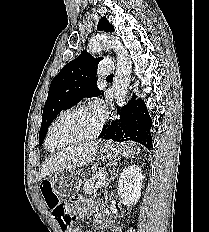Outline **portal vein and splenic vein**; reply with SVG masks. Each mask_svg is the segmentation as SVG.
Returning a JSON list of instances; mask_svg holds the SVG:
<instances>
[{"label": "portal vein and splenic vein", "instance_id": "18ae733b", "mask_svg": "<svg viewBox=\"0 0 209 232\" xmlns=\"http://www.w3.org/2000/svg\"><path fill=\"white\" fill-rule=\"evenodd\" d=\"M106 175H107V173L104 174L105 177H106ZM101 178H103V176H101ZM99 182H100V181H99ZM99 182H98V183H99Z\"/></svg>", "mask_w": 209, "mask_h": 232}]
</instances>
